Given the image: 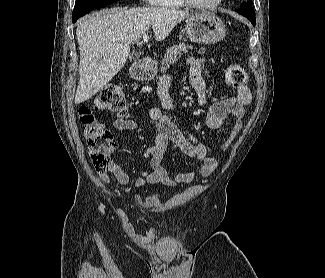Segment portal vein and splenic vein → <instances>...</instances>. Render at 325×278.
Returning a JSON list of instances; mask_svg holds the SVG:
<instances>
[{"instance_id":"obj_1","label":"portal vein and splenic vein","mask_w":325,"mask_h":278,"mask_svg":"<svg viewBox=\"0 0 325 278\" xmlns=\"http://www.w3.org/2000/svg\"><path fill=\"white\" fill-rule=\"evenodd\" d=\"M142 36H143V40L147 42L149 39L148 33H144Z\"/></svg>"}]
</instances>
